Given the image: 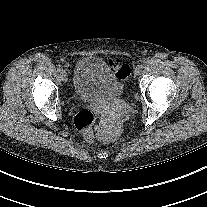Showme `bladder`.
I'll use <instances>...</instances> for the list:
<instances>
[{
  "label": "bladder",
  "mask_w": 207,
  "mask_h": 207,
  "mask_svg": "<svg viewBox=\"0 0 207 207\" xmlns=\"http://www.w3.org/2000/svg\"><path fill=\"white\" fill-rule=\"evenodd\" d=\"M72 87L74 94L86 101L115 99L123 91L122 80L113 68L95 56L84 57L77 62Z\"/></svg>",
  "instance_id": "1"
}]
</instances>
